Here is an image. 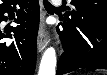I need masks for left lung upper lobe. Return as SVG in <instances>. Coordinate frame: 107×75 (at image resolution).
Instances as JSON below:
<instances>
[{
  "label": "left lung upper lobe",
  "mask_w": 107,
  "mask_h": 75,
  "mask_svg": "<svg viewBox=\"0 0 107 75\" xmlns=\"http://www.w3.org/2000/svg\"><path fill=\"white\" fill-rule=\"evenodd\" d=\"M96 13L107 14V0H84L79 6L76 7V10H73V12L64 15V22H66L80 37L82 35L81 16ZM86 51L88 52V49H86Z\"/></svg>",
  "instance_id": "left-lung-upper-lobe-1"
}]
</instances>
